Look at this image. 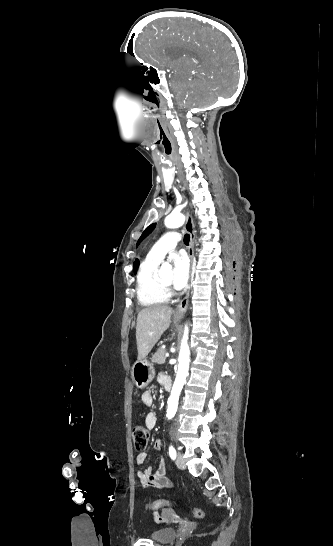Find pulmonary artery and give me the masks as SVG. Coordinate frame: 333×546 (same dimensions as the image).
Wrapping results in <instances>:
<instances>
[{"mask_svg":"<svg viewBox=\"0 0 333 546\" xmlns=\"http://www.w3.org/2000/svg\"><path fill=\"white\" fill-rule=\"evenodd\" d=\"M179 241L180 235L177 232H168L154 244L147 257L161 262L168 252L175 249Z\"/></svg>","mask_w":333,"mask_h":546,"instance_id":"pulmonary-artery-1","label":"pulmonary artery"}]
</instances>
